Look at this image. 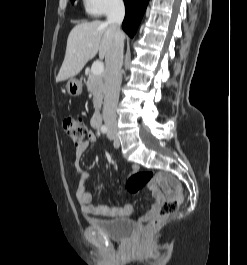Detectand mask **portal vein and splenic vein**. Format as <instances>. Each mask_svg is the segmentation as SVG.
I'll list each match as a JSON object with an SVG mask.
<instances>
[{
    "label": "portal vein and splenic vein",
    "instance_id": "1",
    "mask_svg": "<svg viewBox=\"0 0 247 265\" xmlns=\"http://www.w3.org/2000/svg\"><path fill=\"white\" fill-rule=\"evenodd\" d=\"M91 71L94 75H101L104 71V65L101 61H96L92 64Z\"/></svg>",
    "mask_w": 247,
    "mask_h": 265
}]
</instances>
